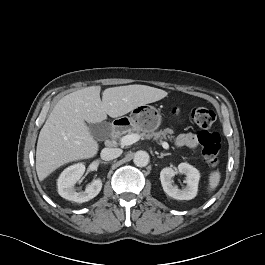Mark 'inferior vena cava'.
Returning a JSON list of instances; mask_svg holds the SVG:
<instances>
[{
	"label": "inferior vena cava",
	"mask_w": 265,
	"mask_h": 265,
	"mask_svg": "<svg viewBox=\"0 0 265 265\" xmlns=\"http://www.w3.org/2000/svg\"><path fill=\"white\" fill-rule=\"evenodd\" d=\"M122 154V150L119 148H104L101 151V158L105 161L113 160Z\"/></svg>",
	"instance_id": "inferior-vena-cava-1"
}]
</instances>
